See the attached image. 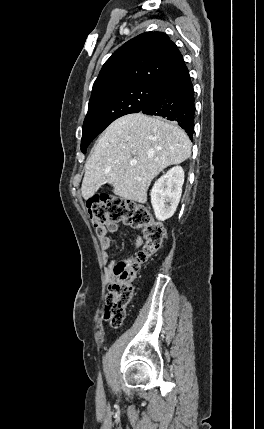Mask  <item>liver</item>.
Wrapping results in <instances>:
<instances>
[{
	"mask_svg": "<svg viewBox=\"0 0 264 429\" xmlns=\"http://www.w3.org/2000/svg\"><path fill=\"white\" fill-rule=\"evenodd\" d=\"M191 147L175 122L142 113L122 116L106 128L87 159L82 196L87 200L108 183L115 195L144 204L154 177L187 160Z\"/></svg>",
	"mask_w": 264,
	"mask_h": 429,
	"instance_id": "6515ba94",
	"label": "liver"
}]
</instances>
